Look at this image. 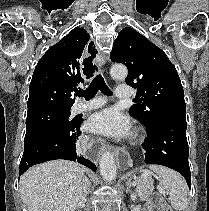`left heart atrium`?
Returning <instances> with one entry per match:
<instances>
[{
	"label": "left heart atrium",
	"instance_id": "39dd6f15",
	"mask_svg": "<svg viewBox=\"0 0 209 211\" xmlns=\"http://www.w3.org/2000/svg\"><path fill=\"white\" fill-rule=\"evenodd\" d=\"M88 130L112 138H125L132 132V124L118 109L110 107L91 115Z\"/></svg>",
	"mask_w": 209,
	"mask_h": 211
}]
</instances>
